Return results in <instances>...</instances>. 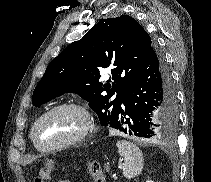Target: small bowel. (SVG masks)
<instances>
[{
	"label": "small bowel",
	"mask_w": 211,
	"mask_h": 182,
	"mask_svg": "<svg viewBox=\"0 0 211 182\" xmlns=\"http://www.w3.org/2000/svg\"><path fill=\"white\" fill-rule=\"evenodd\" d=\"M60 182H69V181H60Z\"/></svg>",
	"instance_id": "obj_1"
}]
</instances>
